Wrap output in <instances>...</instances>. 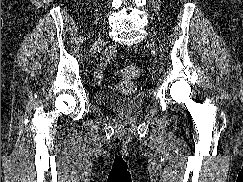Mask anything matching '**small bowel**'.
I'll list each match as a JSON object with an SVG mask.
<instances>
[{
    "mask_svg": "<svg viewBox=\"0 0 243 182\" xmlns=\"http://www.w3.org/2000/svg\"><path fill=\"white\" fill-rule=\"evenodd\" d=\"M114 54H115L114 49L109 48L99 58L98 64H97V66L95 67V70H94L95 79H96V81L98 83H101V81L103 79L102 72H103L104 66L106 64V61L108 59H110L111 57H113ZM121 86L122 87H127L128 84L127 83H123Z\"/></svg>",
    "mask_w": 243,
    "mask_h": 182,
    "instance_id": "small-bowel-1",
    "label": "small bowel"
}]
</instances>
